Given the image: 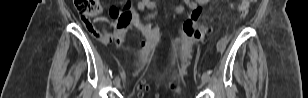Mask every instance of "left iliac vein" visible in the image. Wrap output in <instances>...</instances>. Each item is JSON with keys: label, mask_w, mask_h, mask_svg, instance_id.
Segmentation results:
<instances>
[{"label": "left iliac vein", "mask_w": 308, "mask_h": 98, "mask_svg": "<svg viewBox=\"0 0 308 98\" xmlns=\"http://www.w3.org/2000/svg\"><path fill=\"white\" fill-rule=\"evenodd\" d=\"M207 82H208L207 78H206L205 76H203V77H202V83L205 84V83H207Z\"/></svg>", "instance_id": "left-iliac-vein-1"}]
</instances>
